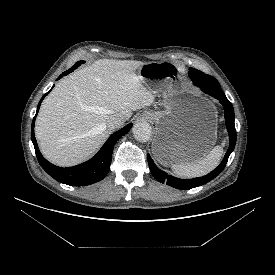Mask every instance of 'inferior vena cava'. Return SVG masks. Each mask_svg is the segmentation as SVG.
<instances>
[{"label":"inferior vena cava","mask_w":275,"mask_h":275,"mask_svg":"<svg viewBox=\"0 0 275 275\" xmlns=\"http://www.w3.org/2000/svg\"><path fill=\"white\" fill-rule=\"evenodd\" d=\"M124 122H125L124 116H122L121 114H114L108 118L107 127L110 130H114L120 127L121 125H123Z\"/></svg>","instance_id":"1"}]
</instances>
